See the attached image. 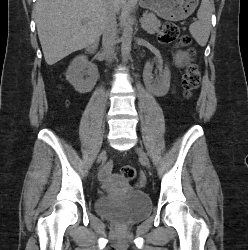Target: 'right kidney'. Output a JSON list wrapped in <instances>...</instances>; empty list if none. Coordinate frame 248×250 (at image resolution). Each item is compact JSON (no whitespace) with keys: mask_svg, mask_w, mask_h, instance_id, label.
Returning a JSON list of instances; mask_svg holds the SVG:
<instances>
[{"mask_svg":"<svg viewBox=\"0 0 248 250\" xmlns=\"http://www.w3.org/2000/svg\"><path fill=\"white\" fill-rule=\"evenodd\" d=\"M66 79L77 92L82 94L88 93L96 85L98 68L89 63L85 55H79L69 65L66 72Z\"/></svg>","mask_w":248,"mask_h":250,"instance_id":"right-kidney-1","label":"right kidney"}]
</instances>
